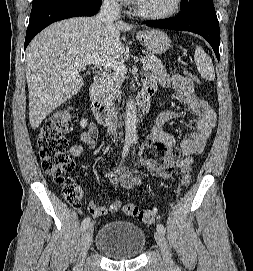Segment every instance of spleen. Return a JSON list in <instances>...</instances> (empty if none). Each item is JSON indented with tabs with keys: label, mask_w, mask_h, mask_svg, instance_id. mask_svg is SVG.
<instances>
[{
	"label": "spleen",
	"mask_w": 253,
	"mask_h": 271,
	"mask_svg": "<svg viewBox=\"0 0 253 271\" xmlns=\"http://www.w3.org/2000/svg\"><path fill=\"white\" fill-rule=\"evenodd\" d=\"M194 60L201 77L208 81L214 80L215 71L212 60L200 46H196Z\"/></svg>",
	"instance_id": "obj_1"
}]
</instances>
